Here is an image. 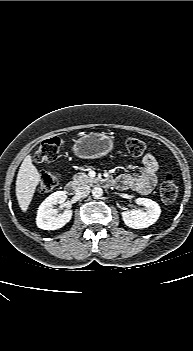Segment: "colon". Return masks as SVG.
<instances>
[{"label": "colon", "mask_w": 193, "mask_h": 351, "mask_svg": "<svg viewBox=\"0 0 193 351\" xmlns=\"http://www.w3.org/2000/svg\"><path fill=\"white\" fill-rule=\"evenodd\" d=\"M126 148L131 156L138 157L142 155L146 149V144L138 138L126 139ZM62 141L58 137H50L43 140L36 151V159L39 162H49L55 160L61 151ZM59 183V175L55 172H44L41 175L38 192L47 194L53 191ZM160 197L166 203L173 202L178 195V187L175 176L172 173H167L160 184Z\"/></svg>", "instance_id": "1"}]
</instances>
